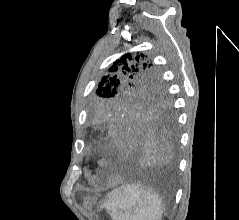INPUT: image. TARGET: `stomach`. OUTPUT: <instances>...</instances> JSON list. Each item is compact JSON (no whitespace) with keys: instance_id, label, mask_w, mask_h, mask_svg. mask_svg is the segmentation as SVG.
<instances>
[{"instance_id":"0dacf381","label":"stomach","mask_w":239,"mask_h":220,"mask_svg":"<svg viewBox=\"0 0 239 220\" xmlns=\"http://www.w3.org/2000/svg\"><path fill=\"white\" fill-rule=\"evenodd\" d=\"M91 204H92V201L90 199L87 198V199L84 200V207L85 208L90 209Z\"/></svg>"}]
</instances>
